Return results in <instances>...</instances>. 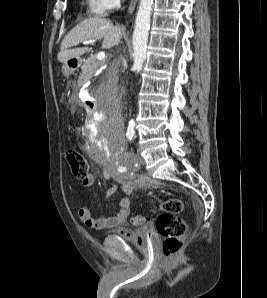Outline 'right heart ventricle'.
<instances>
[{
    "mask_svg": "<svg viewBox=\"0 0 267 298\" xmlns=\"http://www.w3.org/2000/svg\"><path fill=\"white\" fill-rule=\"evenodd\" d=\"M86 12L90 16H99L101 14L99 10L98 0H85Z\"/></svg>",
    "mask_w": 267,
    "mask_h": 298,
    "instance_id": "obj_1",
    "label": "right heart ventricle"
}]
</instances>
